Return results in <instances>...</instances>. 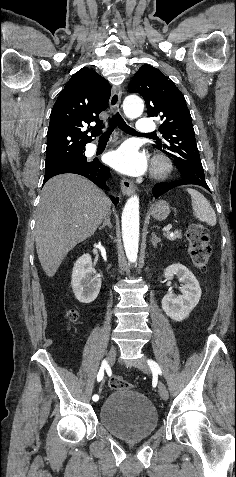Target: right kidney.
<instances>
[{"mask_svg":"<svg viewBox=\"0 0 236 477\" xmlns=\"http://www.w3.org/2000/svg\"><path fill=\"white\" fill-rule=\"evenodd\" d=\"M71 284L75 297L81 303H91L97 298L101 279L89 254L82 255L74 264Z\"/></svg>","mask_w":236,"mask_h":477,"instance_id":"right-kidney-1","label":"right kidney"}]
</instances>
